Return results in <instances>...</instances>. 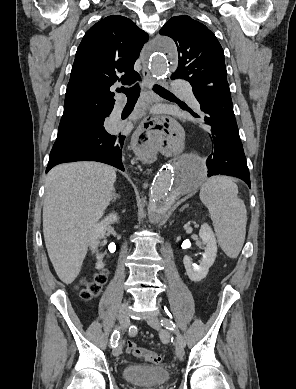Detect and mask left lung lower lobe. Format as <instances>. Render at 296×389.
Returning a JSON list of instances; mask_svg holds the SVG:
<instances>
[{
    "label": "left lung lower lobe",
    "mask_w": 296,
    "mask_h": 389,
    "mask_svg": "<svg viewBox=\"0 0 296 389\" xmlns=\"http://www.w3.org/2000/svg\"><path fill=\"white\" fill-rule=\"evenodd\" d=\"M193 92L205 113L212 152L207 158L208 176L229 175L242 179L250 187L246 157L240 140L228 84L193 86ZM196 117V116H195Z\"/></svg>",
    "instance_id": "0a47b994"
}]
</instances>
